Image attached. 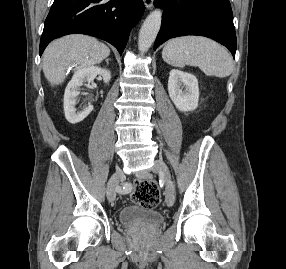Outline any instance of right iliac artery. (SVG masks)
<instances>
[{
	"label": "right iliac artery",
	"instance_id": "82829eb1",
	"mask_svg": "<svg viewBox=\"0 0 286 269\" xmlns=\"http://www.w3.org/2000/svg\"><path fill=\"white\" fill-rule=\"evenodd\" d=\"M125 191H126V190H125L124 187H123V189H121V188L119 189V188H118V192H120V193H124Z\"/></svg>",
	"mask_w": 286,
	"mask_h": 269
}]
</instances>
